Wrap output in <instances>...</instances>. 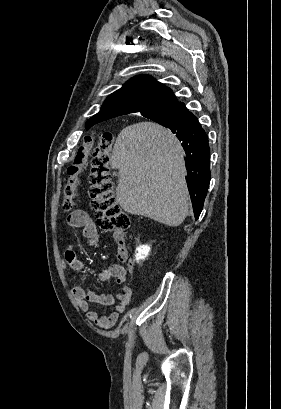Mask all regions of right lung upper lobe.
I'll return each mask as SVG.
<instances>
[{
  "mask_svg": "<svg viewBox=\"0 0 281 409\" xmlns=\"http://www.w3.org/2000/svg\"><path fill=\"white\" fill-rule=\"evenodd\" d=\"M176 103L178 100L170 88L150 76H136L121 89L109 95L100 112L86 122V129L116 116L158 110Z\"/></svg>",
  "mask_w": 281,
  "mask_h": 409,
  "instance_id": "cb5924a9",
  "label": "right lung upper lobe"
}]
</instances>
